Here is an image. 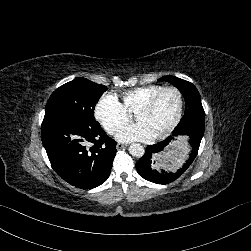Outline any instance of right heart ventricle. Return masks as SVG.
Segmentation results:
<instances>
[{"label":"right heart ventricle","instance_id":"e07e8e85","mask_svg":"<svg viewBox=\"0 0 251 251\" xmlns=\"http://www.w3.org/2000/svg\"><path fill=\"white\" fill-rule=\"evenodd\" d=\"M163 88V85L151 84L127 90L123 93L124 106L129 110H137Z\"/></svg>","mask_w":251,"mask_h":251}]
</instances>
